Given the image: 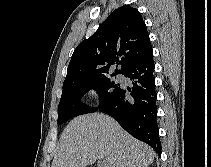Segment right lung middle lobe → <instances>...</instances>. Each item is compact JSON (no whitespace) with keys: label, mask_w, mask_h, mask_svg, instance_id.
<instances>
[{"label":"right lung middle lobe","mask_w":211,"mask_h":167,"mask_svg":"<svg viewBox=\"0 0 211 167\" xmlns=\"http://www.w3.org/2000/svg\"><path fill=\"white\" fill-rule=\"evenodd\" d=\"M115 76V75H112ZM90 89H96L100 96V107L107 106L121 91L119 84L106 76L85 79L74 84L63 86V92L59 103L58 124L68 119L97 109L81 103L82 96Z\"/></svg>","instance_id":"obj_1"}]
</instances>
